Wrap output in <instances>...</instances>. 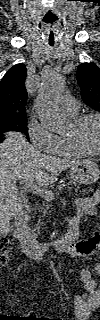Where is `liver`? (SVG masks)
Returning a JSON list of instances; mask_svg holds the SVG:
<instances>
[{
	"instance_id": "liver-1",
	"label": "liver",
	"mask_w": 100,
	"mask_h": 320,
	"mask_svg": "<svg viewBox=\"0 0 100 320\" xmlns=\"http://www.w3.org/2000/svg\"><path fill=\"white\" fill-rule=\"evenodd\" d=\"M81 160L60 159L42 154L18 132H10L0 144V223L2 228L23 212L16 181L33 179L40 186H48L57 176Z\"/></svg>"
}]
</instances>
